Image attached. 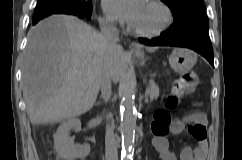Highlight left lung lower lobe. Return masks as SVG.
Instances as JSON below:
<instances>
[{
	"mask_svg": "<svg viewBox=\"0 0 242 160\" xmlns=\"http://www.w3.org/2000/svg\"><path fill=\"white\" fill-rule=\"evenodd\" d=\"M139 42L149 46H175L190 48L204 56L210 64L214 66L213 50L207 28L190 29L176 36L163 32L161 36L157 38H139Z\"/></svg>",
	"mask_w": 242,
	"mask_h": 160,
	"instance_id": "1",
	"label": "left lung lower lobe"
}]
</instances>
